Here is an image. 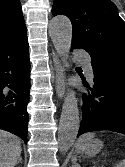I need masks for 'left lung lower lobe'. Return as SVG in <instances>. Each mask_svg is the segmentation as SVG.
I'll return each instance as SVG.
<instances>
[{"instance_id": "left-lung-lower-lobe-1", "label": "left lung lower lobe", "mask_w": 125, "mask_h": 167, "mask_svg": "<svg viewBox=\"0 0 125 167\" xmlns=\"http://www.w3.org/2000/svg\"><path fill=\"white\" fill-rule=\"evenodd\" d=\"M91 63L94 86H87L91 93L83 94L78 136L99 130L125 134V66L111 58L92 59Z\"/></svg>"}]
</instances>
